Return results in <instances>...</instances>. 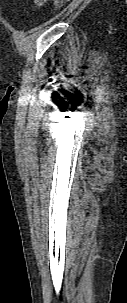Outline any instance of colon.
Listing matches in <instances>:
<instances>
[{
    "instance_id": "colon-1",
    "label": "colon",
    "mask_w": 127,
    "mask_h": 303,
    "mask_svg": "<svg viewBox=\"0 0 127 303\" xmlns=\"http://www.w3.org/2000/svg\"><path fill=\"white\" fill-rule=\"evenodd\" d=\"M45 1H46V0H36V3H37L38 5H42L43 3H45ZM64 1H66V0H57L56 3L60 5V4H62Z\"/></svg>"
}]
</instances>
